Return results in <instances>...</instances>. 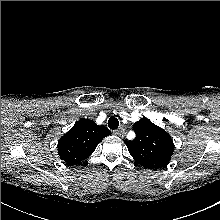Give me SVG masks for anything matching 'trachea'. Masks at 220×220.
I'll return each instance as SVG.
<instances>
[{
  "mask_svg": "<svg viewBox=\"0 0 220 220\" xmlns=\"http://www.w3.org/2000/svg\"><path fill=\"white\" fill-rule=\"evenodd\" d=\"M119 126V121L116 117L112 116L109 120H108V127L110 129H117Z\"/></svg>",
  "mask_w": 220,
  "mask_h": 220,
  "instance_id": "3493384b",
  "label": "trachea"
}]
</instances>
